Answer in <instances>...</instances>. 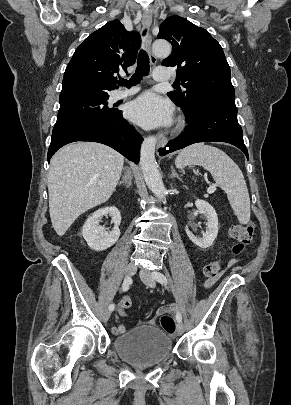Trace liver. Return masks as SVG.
Instances as JSON below:
<instances>
[{"mask_svg":"<svg viewBox=\"0 0 291 405\" xmlns=\"http://www.w3.org/2000/svg\"><path fill=\"white\" fill-rule=\"evenodd\" d=\"M124 157L95 142H77L61 148L48 173L49 212L59 236L85 211L106 202L115 190Z\"/></svg>","mask_w":291,"mask_h":405,"instance_id":"6515ba94","label":"liver"}]
</instances>
